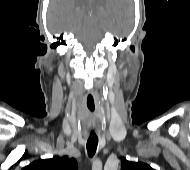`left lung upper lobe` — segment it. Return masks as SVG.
I'll list each match as a JSON object with an SVG mask.
<instances>
[{"label": "left lung upper lobe", "instance_id": "obj_1", "mask_svg": "<svg viewBox=\"0 0 190 170\" xmlns=\"http://www.w3.org/2000/svg\"><path fill=\"white\" fill-rule=\"evenodd\" d=\"M121 170H154L148 164L142 162H130L125 158L121 161Z\"/></svg>", "mask_w": 190, "mask_h": 170}]
</instances>
